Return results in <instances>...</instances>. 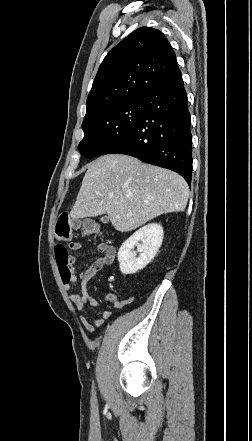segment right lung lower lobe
Listing matches in <instances>:
<instances>
[{
	"label": "right lung lower lobe",
	"instance_id": "right-lung-lower-lobe-1",
	"mask_svg": "<svg viewBox=\"0 0 252 441\" xmlns=\"http://www.w3.org/2000/svg\"><path fill=\"white\" fill-rule=\"evenodd\" d=\"M143 112L135 127L105 154H126L179 173L190 185L191 116L180 70L140 98Z\"/></svg>",
	"mask_w": 252,
	"mask_h": 441
}]
</instances>
